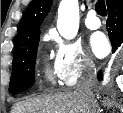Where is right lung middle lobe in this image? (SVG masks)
Wrapping results in <instances>:
<instances>
[{"label": "right lung middle lobe", "instance_id": "right-lung-middle-lobe-1", "mask_svg": "<svg viewBox=\"0 0 123 113\" xmlns=\"http://www.w3.org/2000/svg\"><path fill=\"white\" fill-rule=\"evenodd\" d=\"M40 35L24 42L14 50L9 92L17 94L32 86Z\"/></svg>", "mask_w": 123, "mask_h": 113}]
</instances>
